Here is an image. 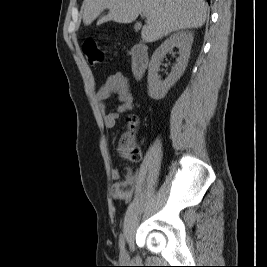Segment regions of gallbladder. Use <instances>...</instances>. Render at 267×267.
I'll return each mask as SVG.
<instances>
[{"instance_id": "bac80fb5", "label": "gallbladder", "mask_w": 267, "mask_h": 267, "mask_svg": "<svg viewBox=\"0 0 267 267\" xmlns=\"http://www.w3.org/2000/svg\"><path fill=\"white\" fill-rule=\"evenodd\" d=\"M138 28H139V25L136 24V25H135V29H138Z\"/></svg>"}]
</instances>
